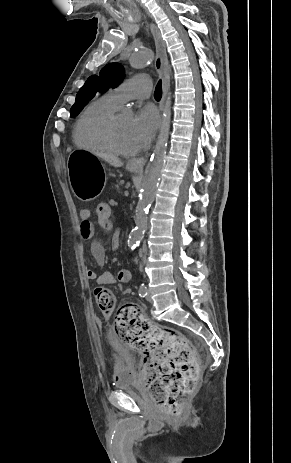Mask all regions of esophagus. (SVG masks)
<instances>
[{
  "instance_id": "obj_1",
  "label": "esophagus",
  "mask_w": 291,
  "mask_h": 463,
  "mask_svg": "<svg viewBox=\"0 0 291 463\" xmlns=\"http://www.w3.org/2000/svg\"><path fill=\"white\" fill-rule=\"evenodd\" d=\"M150 29L153 34L155 45H156V57L154 61L155 68L159 73L163 83V98L161 102V108L169 88V71H168V60L166 53L165 42L163 41L160 31L157 26L153 23L150 24ZM147 162V157L133 158L129 161V164L135 167L142 168Z\"/></svg>"
}]
</instances>
